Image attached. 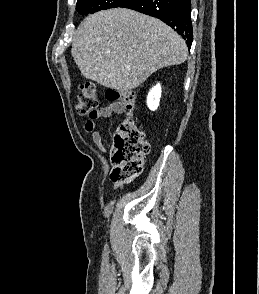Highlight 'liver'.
Returning <instances> with one entry per match:
<instances>
[{
	"label": "liver",
	"instance_id": "obj_1",
	"mask_svg": "<svg viewBox=\"0 0 259 294\" xmlns=\"http://www.w3.org/2000/svg\"><path fill=\"white\" fill-rule=\"evenodd\" d=\"M71 53L85 78L129 91L158 69L183 63L188 48L159 19L114 8L89 15L80 23Z\"/></svg>",
	"mask_w": 259,
	"mask_h": 294
}]
</instances>
